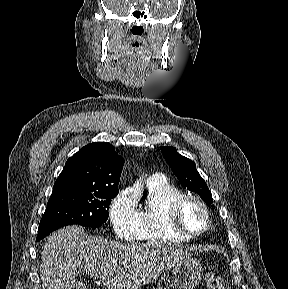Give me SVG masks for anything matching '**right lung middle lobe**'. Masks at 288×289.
<instances>
[{
    "mask_svg": "<svg viewBox=\"0 0 288 289\" xmlns=\"http://www.w3.org/2000/svg\"><path fill=\"white\" fill-rule=\"evenodd\" d=\"M119 190L95 192L78 190L54 191L40 221L37 238L40 240L52 231L70 224L100 227L108 219L109 205Z\"/></svg>",
    "mask_w": 288,
    "mask_h": 289,
    "instance_id": "1",
    "label": "right lung middle lobe"
}]
</instances>
